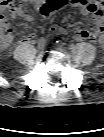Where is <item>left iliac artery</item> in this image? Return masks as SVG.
Masks as SVG:
<instances>
[{"mask_svg": "<svg viewBox=\"0 0 104 137\" xmlns=\"http://www.w3.org/2000/svg\"><path fill=\"white\" fill-rule=\"evenodd\" d=\"M56 43H57L59 46L64 45V43H62L61 41H56Z\"/></svg>", "mask_w": 104, "mask_h": 137, "instance_id": "1", "label": "left iliac artery"}]
</instances>
